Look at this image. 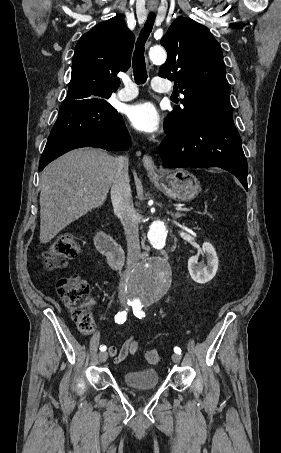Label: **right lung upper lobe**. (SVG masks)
I'll use <instances>...</instances> for the list:
<instances>
[{"mask_svg": "<svg viewBox=\"0 0 281 453\" xmlns=\"http://www.w3.org/2000/svg\"><path fill=\"white\" fill-rule=\"evenodd\" d=\"M135 37L120 17L96 25L77 42L65 100H104L119 87L116 73L131 63Z\"/></svg>", "mask_w": 281, "mask_h": 453, "instance_id": "right-lung-upper-lobe-1", "label": "right lung upper lobe"}]
</instances>
